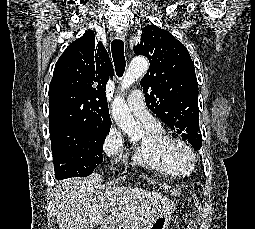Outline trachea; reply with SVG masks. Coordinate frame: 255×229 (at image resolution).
Masks as SVG:
<instances>
[{"mask_svg": "<svg viewBox=\"0 0 255 229\" xmlns=\"http://www.w3.org/2000/svg\"><path fill=\"white\" fill-rule=\"evenodd\" d=\"M111 51L116 74L118 77H122L126 66L124 56V42L121 39H114L111 43Z\"/></svg>", "mask_w": 255, "mask_h": 229, "instance_id": "trachea-1", "label": "trachea"}]
</instances>
